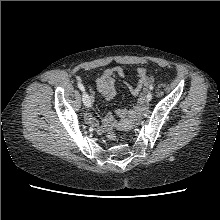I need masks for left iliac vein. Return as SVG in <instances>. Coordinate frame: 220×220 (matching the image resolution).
Masks as SVG:
<instances>
[{
	"instance_id": "4c4485c4",
	"label": "left iliac vein",
	"mask_w": 220,
	"mask_h": 220,
	"mask_svg": "<svg viewBox=\"0 0 220 220\" xmlns=\"http://www.w3.org/2000/svg\"><path fill=\"white\" fill-rule=\"evenodd\" d=\"M152 99V93L148 92L147 94V101L149 102Z\"/></svg>"
}]
</instances>
